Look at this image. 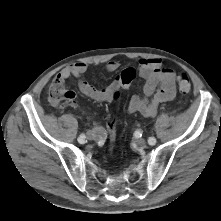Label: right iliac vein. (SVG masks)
I'll return each mask as SVG.
<instances>
[{
    "instance_id": "63e3f726",
    "label": "right iliac vein",
    "mask_w": 221,
    "mask_h": 221,
    "mask_svg": "<svg viewBox=\"0 0 221 221\" xmlns=\"http://www.w3.org/2000/svg\"><path fill=\"white\" fill-rule=\"evenodd\" d=\"M87 139L88 140H96L97 139V136L95 133H93L92 131H88L87 132Z\"/></svg>"
}]
</instances>
